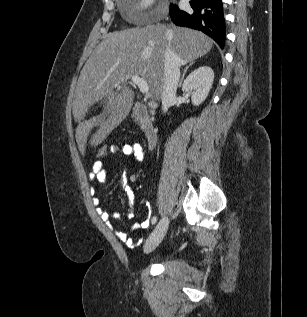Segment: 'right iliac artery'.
<instances>
[{
	"label": "right iliac artery",
	"mask_w": 307,
	"mask_h": 317,
	"mask_svg": "<svg viewBox=\"0 0 307 317\" xmlns=\"http://www.w3.org/2000/svg\"><path fill=\"white\" fill-rule=\"evenodd\" d=\"M156 221H157L156 217H153V219H152V224H155Z\"/></svg>",
	"instance_id": "obj_1"
}]
</instances>
